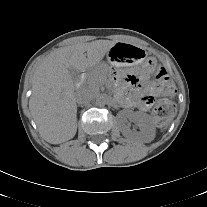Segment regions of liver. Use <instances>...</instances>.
<instances>
[{"label": "liver", "instance_id": "obj_1", "mask_svg": "<svg viewBox=\"0 0 207 207\" xmlns=\"http://www.w3.org/2000/svg\"><path fill=\"white\" fill-rule=\"evenodd\" d=\"M115 41L96 40L57 49L35 69L31 77L29 109L41 137L60 144L77 131V104L69 68L86 71L97 66Z\"/></svg>", "mask_w": 207, "mask_h": 207}]
</instances>
